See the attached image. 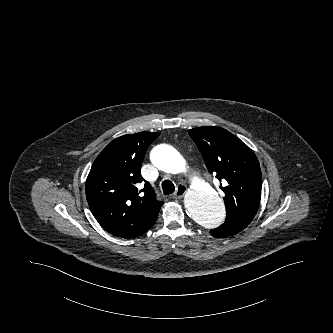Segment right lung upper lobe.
<instances>
[{"instance_id":"1","label":"right lung upper lobe","mask_w":333,"mask_h":333,"mask_svg":"<svg viewBox=\"0 0 333 333\" xmlns=\"http://www.w3.org/2000/svg\"><path fill=\"white\" fill-rule=\"evenodd\" d=\"M160 132L116 138L94 161L86 180V198L98 223L108 232L134 238L147 231L163 204L140 174L149 145ZM144 183V188L138 186Z\"/></svg>"}]
</instances>
